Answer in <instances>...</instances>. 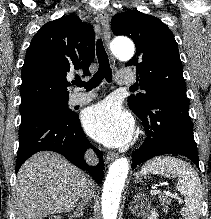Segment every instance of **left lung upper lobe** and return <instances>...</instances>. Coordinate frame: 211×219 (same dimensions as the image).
I'll list each match as a JSON object with an SVG mask.
<instances>
[{
	"mask_svg": "<svg viewBox=\"0 0 211 219\" xmlns=\"http://www.w3.org/2000/svg\"><path fill=\"white\" fill-rule=\"evenodd\" d=\"M115 35H126L136 45L126 66H136L139 85L145 93L128 97L135 113L147 109L150 99L161 94L186 95L178 45L170 29L158 18L135 10L116 14L111 20Z\"/></svg>",
	"mask_w": 211,
	"mask_h": 219,
	"instance_id": "5c2ea615",
	"label": "left lung upper lobe"
}]
</instances>
